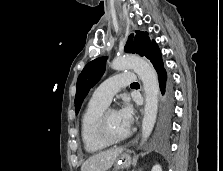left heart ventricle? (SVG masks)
Listing matches in <instances>:
<instances>
[{
    "label": "left heart ventricle",
    "mask_w": 223,
    "mask_h": 171,
    "mask_svg": "<svg viewBox=\"0 0 223 171\" xmlns=\"http://www.w3.org/2000/svg\"><path fill=\"white\" fill-rule=\"evenodd\" d=\"M106 130L108 135L114 139L124 136L129 131L116 111L108 114L106 119Z\"/></svg>",
    "instance_id": "b2bd125f"
}]
</instances>
